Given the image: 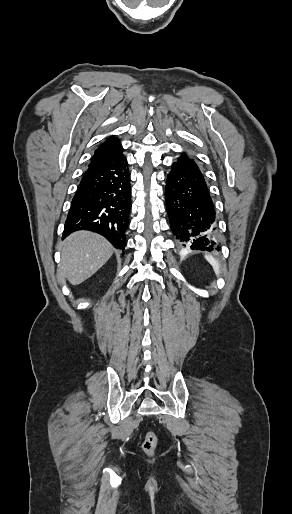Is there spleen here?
I'll list each match as a JSON object with an SVG mask.
<instances>
[{"instance_id":"3e777b00","label":"spleen","mask_w":292,"mask_h":514,"mask_svg":"<svg viewBox=\"0 0 292 514\" xmlns=\"http://www.w3.org/2000/svg\"><path fill=\"white\" fill-rule=\"evenodd\" d=\"M207 262H209V264H211V266H213V270L215 272V274H217V276H219L220 274V264H218L217 260H215V258H213V256H205Z\"/></svg>"}]
</instances>
